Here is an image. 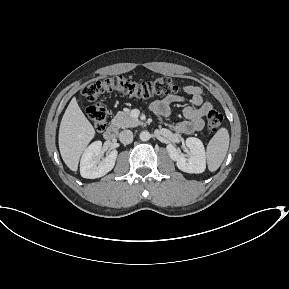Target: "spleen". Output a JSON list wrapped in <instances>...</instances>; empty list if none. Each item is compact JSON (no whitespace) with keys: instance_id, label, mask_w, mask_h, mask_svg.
I'll return each instance as SVG.
<instances>
[{"instance_id":"3e777b00","label":"spleen","mask_w":289,"mask_h":289,"mask_svg":"<svg viewBox=\"0 0 289 289\" xmlns=\"http://www.w3.org/2000/svg\"><path fill=\"white\" fill-rule=\"evenodd\" d=\"M229 133L226 128H220L207 145L206 158L208 169L216 171L222 164L229 147Z\"/></svg>"}]
</instances>
